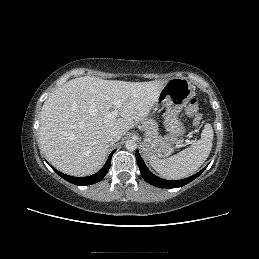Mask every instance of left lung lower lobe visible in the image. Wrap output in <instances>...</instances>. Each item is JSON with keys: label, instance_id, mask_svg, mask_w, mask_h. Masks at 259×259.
<instances>
[{"label": "left lung lower lobe", "instance_id": "1", "mask_svg": "<svg viewBox=\"0 0 259 259\" xmlns=\"http://www.w3.org/2000/svg\"><path fill=\"white\" fill-rule=\"evenodd\" d=\"M136 159H137V164L139 166L142 177L149 184L154 185L156 187H160V188H177V187L184 186V185L188 184L189 182H191L192 180H194L195 178H197L206 168V167L203 168L201 171H199L195 175L188 177L186 179L170 181V180H165V179L159 178L156 175H154L152 172H150L138 151H136Z\"/></svg>", "mask_w": 259, "mask_h": 259}]
</instances>
